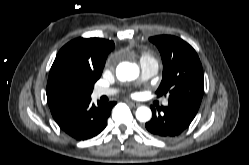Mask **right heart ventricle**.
<instances>
[{"instance_id":"1","label":"right heart ventricle","mask_w":249,"mask_h":165,"mask_svg":"<svg viewBox=\"0 0 249 165\" xmlns=\"http://www.w3.org/2000/svg\"><path fill=\"white\" fill-rule=\"evenodd\" d=\"M142 57L151 58V57L149 56V54H147V53H143V54H142Z\"/></svg>"}]
</instances>
